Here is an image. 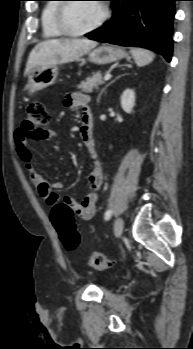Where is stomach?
<instances>
[{
    "mask_svg": "<svg viewBox=\"0 0 193 349\" xmlns=\"http://www.w3.org/2000/svg\"><path fill=\"white\" fill-rule=\"evenodd\" d=\"M127 56L126 51L119 47L103 45L92 50L88 55V60L98 65H105ZM57 76L58 67L56 65H50L45 68L36 67L28 74V81L24 87V91L28 96L34 97L36 92L54 84Z\"/></svg>",
    "mask_w": 193,
    "mask_h": 349,
    "instance_id": "obj_1",
    "label": "stomach"
}]
</instances>
